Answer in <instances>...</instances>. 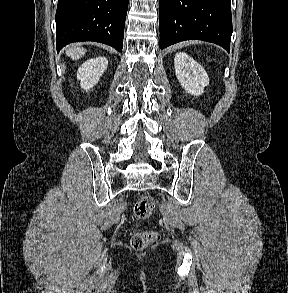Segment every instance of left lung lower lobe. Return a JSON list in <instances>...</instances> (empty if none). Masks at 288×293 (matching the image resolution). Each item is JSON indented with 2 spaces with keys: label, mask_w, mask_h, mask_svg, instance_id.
Listing matches in <instances>:
<instances>
[{
  "label": "left lung lower lobe",
  "mask_w": 288,
  "mask_h": 293,
  "mask_svg": "<svg viewBox=\"0 0 288 293\" xmlns=\"http://www.w3.org/2000/svg\"><path fill=\"white\" fill-rule=\"evenodd\" d=\"M160 48L203 40L230 51V0H159Z\"/></svg>",
  "instance_id": "0a47b994"
}]
</instances>
